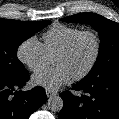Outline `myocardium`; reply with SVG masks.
Instances as JSON below:
<instances>
[{"instance_id":"myocardium-1","label":"myocardium","mask_w":119,"mask_h":119,"mask_svg":"<svg viewBox=\"0 0 119 119\" xmlns=\"http://www.w3.org/2000/svg\"><path fill=\"white\" fill-rule=\"evenodd\" d=\"M83 36H90L93 39L94 53L87 67L81 73L73 77V80H76V81L82 80L85 77H87L91 73V71L94 69L95 65L97 64V61L99 59L100 52H101V42H100V38L98 34L91 30H81L80 32L75 34L67 42V44L55 55V57H57V56H62V55H66L70 53L73 50L76 43L79 41V39L82 38Z\"/></svg>"}]
</instances>
